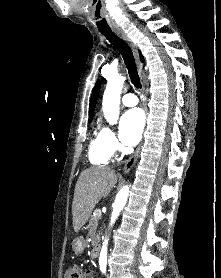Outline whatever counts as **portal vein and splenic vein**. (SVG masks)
Returning <instances> with one entry per match:
<instances>
[{"instance_id": "portal-vein-and-splenic-vein-1", "label": "portal vein and splenic vein", "mask_w": 221, "mask_h": 278, "mask_svg": "<svg viewBox=\"0 0 221 278\" xmlns=\"http://www.w3.org/2000/svg\"><path fill=\"white\" fill-rule=\"evenodd\" d=\"M96 214L100 216L101 215V210L100 209L96 210Z\"/></svg>"}]
</instances>
